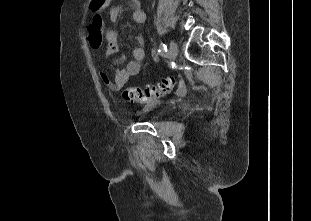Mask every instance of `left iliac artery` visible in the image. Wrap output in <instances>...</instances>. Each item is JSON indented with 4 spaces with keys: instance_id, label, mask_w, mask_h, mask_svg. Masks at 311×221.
<instances>
[{
    "instance_id": "left-iliac-artery-1",
    "label": "left iliac artery",
    "mask_w": 311,
    "mask_h": 221,
    "mask_svg": "<svg viewBox=\"0 0 311 221\" xmlns=\"http://www.w3.org/2000/svg\"><path fill=\"white\" fill-rule=\"evenodd\" d=\"M157 52L160 55H166L167 54V47H166L165 43H163V42L160 43Z\"/></svg>"
}]
</instances>
